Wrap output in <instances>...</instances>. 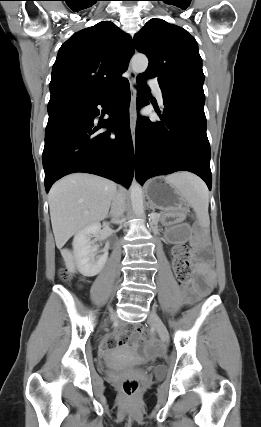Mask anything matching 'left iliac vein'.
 <instances>
[{"instance_id": "obj_1", "label": "left iliac vein", "mask_w": 261, "mask_h": 427, "mask_svg": "<svg viewBox=\"0 0 261 427\" xmlns=\"http://www.w3.org/2000/svg\"><path fill=\"white\" fill-rule=\"evenodd\" d=\"M148 320L150 324L157 330L163 342L168 343L169 342L168 330L154 309H152L151 312L149 313Z\"/></svg>"}]
</instances>
